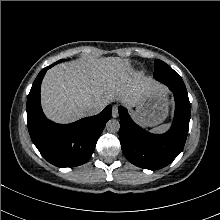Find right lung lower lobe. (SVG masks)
<instances>
[{
  "label": "right lung lower lobe",
  "mask_w": 220,
  "mask_h": 220,
  "mask_svg": "<svg viewBox=\"0 0 220 220\" xmlns=\"http://www.w3.org/2000/svg\"><path fill=\"white\" fill-rule=\"evenodd\" d=\"M35 79L27 99V124L31 139L41 155L57 167H75L84 164L94 152L96 142L106 122L111 118L112 107L107 106L98 115L61 125L48 120L40 104V87L46 71Z\"/></svg>",
  "instance_id": "right-lung-lower-lobe-1"
}]
</instances>
